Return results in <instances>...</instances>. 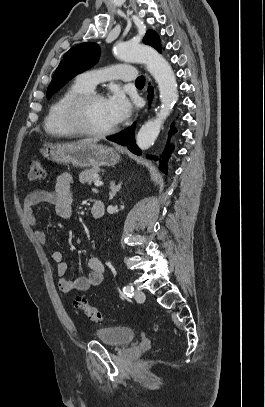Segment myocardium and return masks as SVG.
<instances>
[{"label":"myocardium","mask_w":265,"mask_h":407,"mask_svg":"<svg viewBox=\"0 0 265 407\" xmlns=\"http://www.w3.org/2000/svg\"><path fill=\"white\" fill-rule=\"evenodd\" d=\"M104 99V97L97 92L88 91L84 94L74 97L66 106L64 111V119L68 127L77 135L104 138L117 130V126L103 131H95L87 127L84 117L87 107L95 100Z\"/></svg>","instance_id":"1"}]
</instances>
